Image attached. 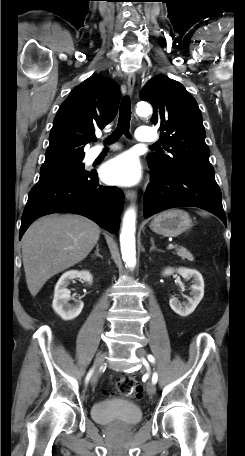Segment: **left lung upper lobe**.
Masks as SVG:
<instances>
[{
  "mask_svg": "<svg viewBox=\"0 0 245 456\" xmlns=\"http://www.w3.org/2000/svg\"><path fill=\"white\" fill-rule=\"evenodd\" d=\"M140 97L152 104L151 122L160 126V143L171 153H149L148 164L162 171L214 175L200 109L184 86L166 76H155L147 82Z\"/></svg>",
  "mask_w": 245,
  "mask_h": 456,
  "instance_id": "5c2ea615",
  "label": "left lung upper lobe"
}]
</instances>
